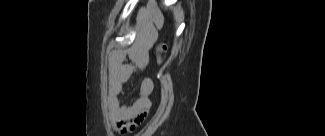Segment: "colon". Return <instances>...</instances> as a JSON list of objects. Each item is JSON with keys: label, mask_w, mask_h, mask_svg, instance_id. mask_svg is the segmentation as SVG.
Wrapping results in <instances>:
<instances>
[{"label": "colon", "mask_w": 325, "mask_h": 136, "mask_svg": "<svg viewBox=\"0 0 325 136\" xmlns=\"http://www.w3.org/2000/svg\"><path fill=\"white\" fill-rule=\"evenodd\" d=\"M165 50H166V45H165V44H161V45L158 47V55H159V57L162 56V54L164 53Z\"/></svg>", "instance_id": "1"}]
</instances>
